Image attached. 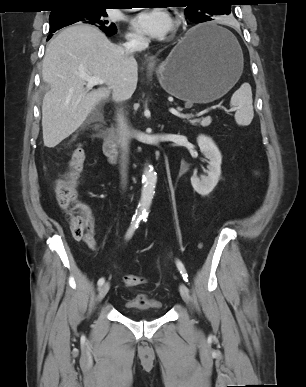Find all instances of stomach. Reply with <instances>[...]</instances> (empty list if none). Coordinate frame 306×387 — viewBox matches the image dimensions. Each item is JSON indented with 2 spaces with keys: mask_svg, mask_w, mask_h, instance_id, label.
Instances as JSON below:
<instances>
[{
  "mask_svg": "<svg viewBox=\"0 0 306 387\" xmlns=\"http://www.w3.org/2000/svg\"><path fill=\"white\" fill-rule=\"evenodd\" d=\"M219 32L226 38L211 36ZM197 36L193 40L192 37ZM243 53L236 39L215 23L200 24L187 32L157 68L163 89L193 103H209L226 94L243 71Z\"/></svg>",
  "mask_w": 306,
  "mask_h": 387,
  "instance_id": "1",
  "label": "stomach"
}]
</instances>
